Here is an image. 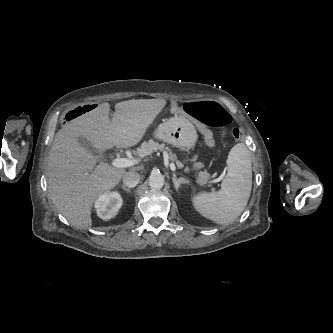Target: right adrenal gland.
I'll return each instance as SVG.
<instances>
[{
	"mask_svg": "<svg viewBox=\"0 0 333 333\" xmlns=\"http://www.w3.org/2000/svg\"><path fill=\"white\" fill-rule=\"evenodd\" d=\"M122 189L124 190V191H126V192H130V188H127V187H125V186H122Z\"/></svg>",
	"mask_w": 333,
	"mask_h": 333,
	"instance_id": "obj_1",
	"label": "right adrenal gland"
}]
</instances>
